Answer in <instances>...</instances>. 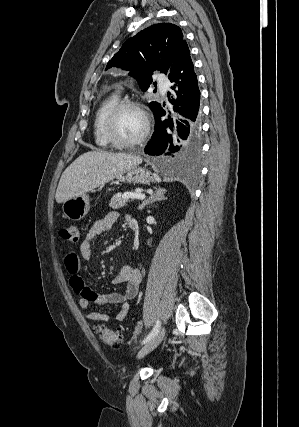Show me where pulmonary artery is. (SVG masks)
Here are the masks:
<instances>
[{
  "label": "pulmonary artery",
  "mask_w": 299,
  "mask_h": 427,
  "mask_svg": "<svg viewBox=\"0 0 299 427\" xmlns=\"http://www.w3.org/2000/svg\"><path fill=\"white\" fill-rule=\"evenodd\" d=\"M159 85H160V90H161V94L165 95L168 88H169V82L168 80H166L163 76H161L159 78Z\"/></svg>",
  "instance_id": "1"
}]
</instances>
